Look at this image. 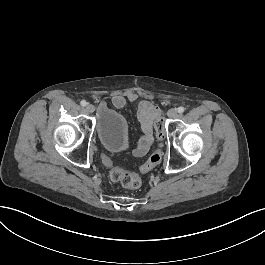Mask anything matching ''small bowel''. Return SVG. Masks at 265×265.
<instances>
[{
  "instance_id": "c3829d8e",
  "label": "small bowel",
  "mask_w": 265,
  "mask_h": 265,
  "mask_svg": "<svg viewBox=\"0 0 265 265\" xmlns=\"http://www.w3.org/2000/svg\"><path fill=\"white\" fill-rule=\"evenodd\" d=\"M112 104L116 108H122L129 102H137L138 104V119L142 125L144 137L141 144L134 150V155L137 157L144 156L152 142V124L157 115L156 107L146 99H140L137 94L129 93L123 95L119 92H114L111 98ZM104 162L107 167H112L113 163L108 158L104 157Z\"/></svg>"
}]
</instances>
